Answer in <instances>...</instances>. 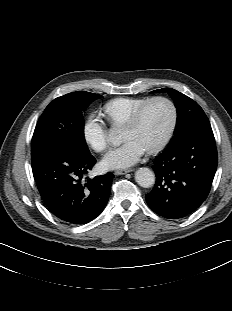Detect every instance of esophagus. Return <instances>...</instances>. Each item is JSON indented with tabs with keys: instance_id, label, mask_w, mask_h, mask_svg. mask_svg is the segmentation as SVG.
<instances>
[{
	"instance_id": "1",
	"label": "esophagus",
	"mask_w": 232,
	"mask_h": 311,
	"mask_svg": "<svg viewBox=\"0 0 232 311\" xmlns=\"http://www.w3.org/2000/svg\"><path fill=\"white\" fill-rule=\"evenodd\" d=\"M131 171H132L131 169L116 170L115 174L116 175H124V174H127V173L131 172Z\"/></svg>"
}]
</instances>
